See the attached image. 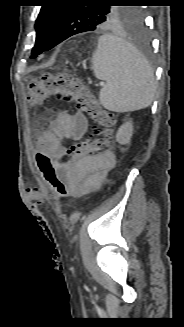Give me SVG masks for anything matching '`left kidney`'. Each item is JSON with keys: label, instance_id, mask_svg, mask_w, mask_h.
Returning <instances> with one entry per match:
<instances>
[{"label": "left kidney", "instance_id": "5707ae66", "mask_svg": "<svg viewBox=\"0 0 184 327\" xmlns=\"http://www.w3.org/2000/svg\"><path fill=\"white\" fill-rule=\"evenodd\" d=\"M133 135L132 121L125 122L117 131L116 140L121 145L130 143V139Z\"/></svg>", "mask_w": 184, "mask_h": 327}]
</instances>
